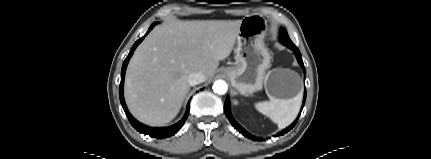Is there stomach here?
Instances as JSON below:
<instances>
[{
	"mask_svg": "<svg viewBox=\"0 0 431 159\" xmlns=\"http://www.w3.org/2000/svg\"><path fill=\"white\" fill-rule=\"evenodd\" d=\"M267 29V20L263 16L244 17L237 36L236 63L223 68L222 73L242 95L253 94L264 85L269 97L292 99L302 90L301 78L297 73L288 69H275L266 74L271 59L264 45Z\"/></svg>",
	"mask_w": 431,
	"mask_h": 159,
	"instance_id": "1",
	"label": "stomach"
}]
</instances>
